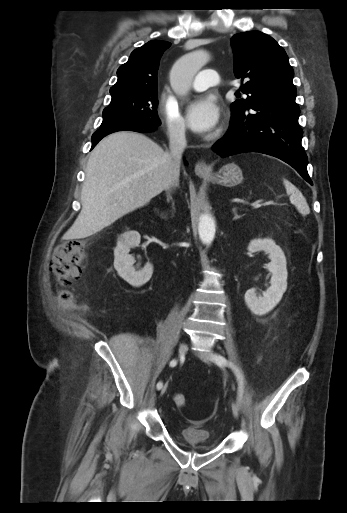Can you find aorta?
<instances>
[{"instance_id": "aorta-1", "label": "aorta", "mask_w": 347, "mask_h": 513, "mask_svg": "<svg viewBox=\"0 0 347 513\" xmlns=\"http://www.w3.org/2000/svg\"><path fill=\"white\" fill-rule=\"evenodd\" d=\"M209 55L196 50L180 57L170 71V84L178 96H186L195 74L207 63ZM199 234L205 245H210L215 236V222L209 214H203L199 221Z\"/></svg>"}]
</instances>
